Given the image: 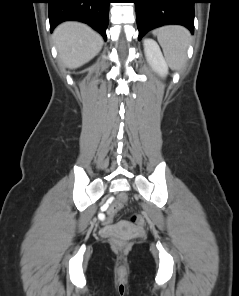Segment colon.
<instances>
[{
  "mask_svg": "<svg viewBox=\"0 0 239 296\" xmlns=\"http://www.w3.org/2000/svg\"><path fill=\"white\" fill-rule=\"evenodd\" d=\"M127 196L120 195L118 196L114 202H113V208L114 209H121L123 208L127 203ZM129 221L131 224L135 226H140L143 224V218L139 214H132L129 217ZM112 241L116 247H125L126 241L120 237L119 235H114L112 238Z\"/></svg>",
  "mask_w": 239,
  "mask_h": 296,
  "instance_id": "obj_1",
  "label": "colon"
}]
</instances>
